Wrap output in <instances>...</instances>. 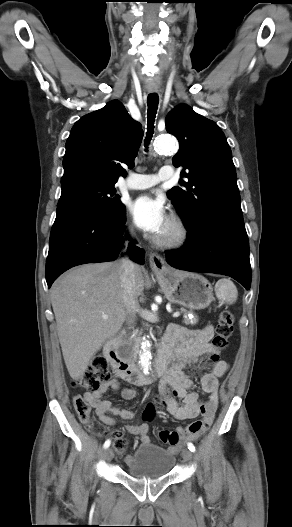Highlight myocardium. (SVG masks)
<instances>
[{"mask_svg": "<svg viewBox=\"0 0 292 527\" xmlns=\"http://www.w3.org/2000/svg\"><path fill=\"white\" fill-rule=\"evenodd\" d=\"M169 231L166 234L155 237L154 242L166 248H174L183 245L189 237V229L186 222L178 215H172L169 220Z\"/></svg>", "mask_w": 292, "mask_h": 527, "instance_id": "f54148a6", "label": "myocardium"}]
</instances>
